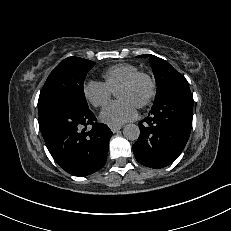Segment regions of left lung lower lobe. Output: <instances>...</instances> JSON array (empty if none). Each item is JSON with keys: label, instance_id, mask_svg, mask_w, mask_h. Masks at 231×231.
<instances>
[{"label": "left lung lower lobe", "instance_id": "0a47b994", "mask_svg": "<svg viewBox=\"0 0 231 231\" xmlns=\"http://www.w3.org/2000/svg\"><path fill=\"white\" fill-rule=\"evenodd\" d=\"M193 97L189 88H179L154 103L149 115L140 121V136L133 145L139 163L163 168L183 151L191 131Z\"/></svg>", "mask_w": 231, "mask_h": 231}]
</instances>
